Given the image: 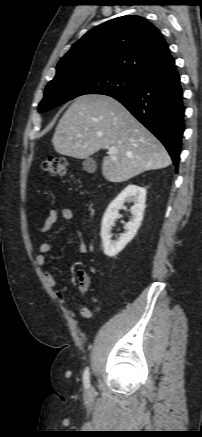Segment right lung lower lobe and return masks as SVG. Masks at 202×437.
Returning <instances> with one entry per match:
<instances>
[{"label":"right lung lower lobe","instance_id":"1","mask_svg":"<svg viewBox=\"0 0 202 437\" xmlns=\"http://www.w3.org/2000/svg\"><path fill=\"white\" fill-rule=\"evenodd\" d=\"M111 97L122 103L163 143L177 167L185 106L175 62L144 78L135 90Z\"/></svg>","mask_w":202,"mask_h":437}]
</instances>
